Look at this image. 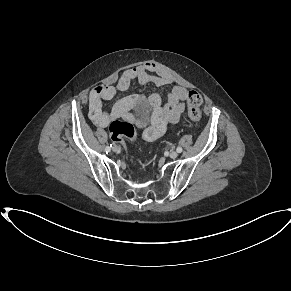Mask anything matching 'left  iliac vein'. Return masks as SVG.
Here are the masks:
<instances>
[{"label": "left iliac vein", "mask_w": 291, "mask_h": 291, "mask_svg": "<svg viewBox=\"0 0 291 291\" xmlns=\"http://www.w3.org/2000/svg\"><path fill=\"white\" fill-rule=\"evenodd\" d=\"M169 156H170V158L175 159V158H177L178 153L176 151H172V152H170Z\"/></svg>", "instance_id": "left-iliac-vein-1"}]
</instances>
